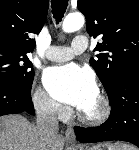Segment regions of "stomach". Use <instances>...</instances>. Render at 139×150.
Returning <instances> with one entry per match:
<instances>
[{
  "label": "stomach",
  "instance_id": "1",
  "mask_svg": "<svg viewBox=\"0 0 139 150\" xmlns=\"http://www.w3.org/2000/svg\"><path fill=\"white\" fill-rule=\"evenodd\" d=\"M87 150H116L115 146L109 143H103V144H98L96 146H93Z\"/></svg>",
  "mask_w": 139,
  "mask_h": 150
}]
</instances>
